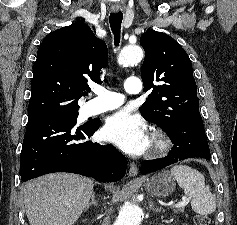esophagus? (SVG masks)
I'll return each instance as SVG.
<instances>
[{"label": "esophagus", "mask_w": 237, "mask_h": 225, "mask_svg": "<svg viewBox=\"0 0 237 225\" xmlns=\"http://www.w3.org/2000/svg\"><path fill=\"white\" fill-rule=\"evenodd\" d=\"M116 12V10H114ZM130 177H135L138 174V168L134 162L129 163V172Z\"/></svg>", "instance_id": "34e87169"}]
</instances>
